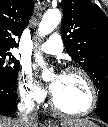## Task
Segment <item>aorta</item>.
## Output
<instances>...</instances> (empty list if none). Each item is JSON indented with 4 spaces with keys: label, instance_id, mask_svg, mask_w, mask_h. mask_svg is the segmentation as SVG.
<instances>
[{
    "label": "aorta",
    "instance_id": "obj_1",
    "mask_svg": "<svg viewBox=\"0 0 108 127\" xmlns=\"http://www.w3.org/2000/svg\"><path fill=\"white\" fill-rule=\"evenodd\" d=\"M60 21H61L60 11L57 9H49L48 11H46V13L44 14L40 22V25L38 28L39 35L45 36L51 33L58 26ZM35 60L38 63V65L43 68L42 78L44 80L49 79L51 76V72L49 69L45 68V63L40 53L35 54Z\"/></svg>",
    "mask_w": 108,
    "mask_h": 127
}]
</instances>
